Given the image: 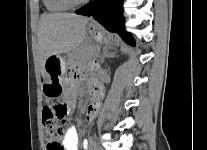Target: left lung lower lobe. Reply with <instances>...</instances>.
I'll list each match as a JSON object with an SVG mask.
<instances>
[{"instance_id":"left-lung-lower-lobe-1","label":"left lung lower lobe","mask_w":207,"mask_h":150,"mask_svg":"<svg viewBox=\"0 0 207 150\" xmlns=\"http://www.w3.org/2000/svg\"><path fill=\"white\" fill-rule=\"evenodd\" d=\"M76 13L93 16L108 31L119 34L125 42L135 45L130 34L124 29L122 0H114L111 6L108 0H94L78 9Z\"/></svg>"}]
</instances>
